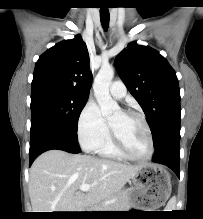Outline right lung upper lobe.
Wrapping results in <instances>:
<instances>
[{
  "label": "right lung upper lobe",
  "instance_id": "right-lung-upper-lobe-1",
  "mask_svg": "<svg viewBox=\"0 0 203 219\" xmlns=\"http://www.w3.org/2000/svg\"><path fill=\"white\" fill-rule=\"evenodd\" d=\"M91 80L88 50L77 35L56 44L39 57L31 86H58L89 96Z\"/></svg>",
  "mask_w": 203,
  "mask_h": 219
}]
</instances>
